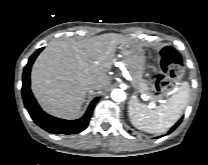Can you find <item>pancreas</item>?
I'll return each instance as SVG.
<instances>
[{
  "mask_svg": "<svg viewBox=\"0 0 208 165\" xmlns=\"http://www.w3.org/2000/svg\"><path fill=\"white\" fill-rule=\"evenodd\" d=\"M142 89H143V93H146L147 95L151 97V94L149 93V88L144 81L142 82Z\"/></svg>",
  "mask_w": 208,
  "mask_h": 165,
  "instance_id": "1",
  "label": "pancreas"
}]
</instances>
